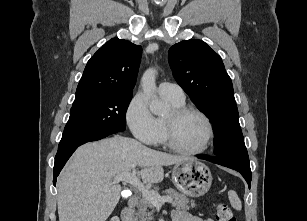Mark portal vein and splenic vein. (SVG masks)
I'll use <instances>...</instances> for the list:
<instances>
[{"label":"portal vein and splenic vein","instance_id":"18ae733b","mask_svg":"<svg viewBox=\"0 0 307 221\" xmlns=\"http://www.w3.org/2000/svg\"><path fill=\"white\" fill-rule=\"evenodd\" d=\"M114 181H124L126 183L131 184L135 188H137L141 193L142 196L153 206L155 207H161L162 204L165 202L172 203L173 200L169 196H160L147 188H145L144 184L137 178L135 173H121L118 174L115 178Z\"/></svg>","mask_w":307,"mask_h":221}]
</instances>
